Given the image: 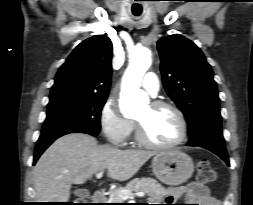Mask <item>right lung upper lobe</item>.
<instances>
[{
    "mask_svg": "<svg viewBox=\"0 0 253 205\" xmlns=\"http://www.w3.org/2000/svg\"><path fill=\"white\" fill-rule=\"evenodd\" d=\"M112 51V42L105 35H95L81 42L60 67L50 100L68 96L107 97Z\"/></svg>",
    "mask_w": 253,
    "mask_h": 205,
    "instance_id": "cb5924a9",
    "label": "right lung upper lobe"
}]
</instances>
